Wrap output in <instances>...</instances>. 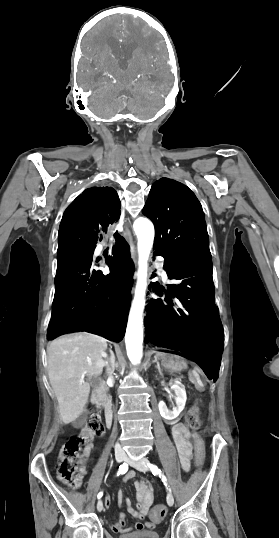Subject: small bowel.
Segmentation results:
<instances>
[{"mask_svg":"<svg viewBox=\"0 0 279 538\" xmlns=\"http://www.w3.org/2000/svg\"><path fill=\"white\" fill-rule=\"evenodd\" d=\"M172 438L174 440L175 446L178 451L179 460L182 468L185 471L190 469V460L192 456V444L190 442L191 435L188 429L182 424L177 423L172 427ZM93 450L92 444H87L83 450L82 455L79 459V465L83 473L86 472V464L89 460L91 451ZM135 471L130 470L125 476V482L131 480L135 477ZM136 487V499H137V510L132 507L130 499L123 500V493L120 490L118 492V503L120 506L125 505L126 513H121L116 522L110 524V529L113 532L122 533L129 531H140L144 529L153 528V522L144 520L149 512V509L153 502L154 489L149 485L145 480H139L135 482ZM111 505V498L109 495L105 497V506L109 508ZM130 514L132 517L138 519L132 527L126 528V514Z\"/></svg>","mask_w":279,"mask_h":538,"instance_id":"1","label":"small bowel"}]
</instances>
